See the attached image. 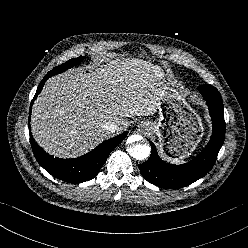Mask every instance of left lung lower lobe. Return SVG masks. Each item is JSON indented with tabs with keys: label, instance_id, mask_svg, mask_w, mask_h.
<instances>
[{
	"label": "left lung lower lobe",
	"instance_id": "obj_1",
	"mask_svg": "<svg viewBox=\"0 0 248 248\" xmlns=\"http://www.w3.org/2000/svg\"><path fill=\"white\" fill-rule=\"evenodd\" d=\"M198 90L205 98L213 123L212 136L207 146L192 161L173 165L161 160L156 147L151 144V157L138 165L143 177L162 188H182L206 175L213 167L225 137L223 103L219 91L211 85H201Z\"/></svg>",
	"mask_w": 248,
	"mask_h": 248
}]
</instances>
